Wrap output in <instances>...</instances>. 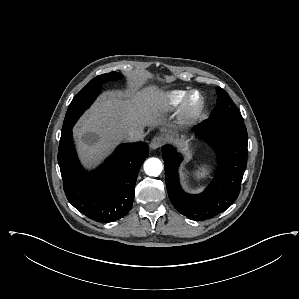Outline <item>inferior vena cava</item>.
Returning <instances> with one entry per match:
<instances>
[{
  "instance_id": "1",
  "label": "inferior vena cava",
  "mask_w": 299,
  "mask_h": 299,
  "mask_svg": "<svg viewBox=\"0 0 299 299\" xmlns=\"http://www.w3.org/2000/svg\"><path fill=\"white\" fill-rule=\"evenodd\" d=\"M144 138L143 128H131L127 134V140L138 141Z\"/></svg>"
}]
</instances>
